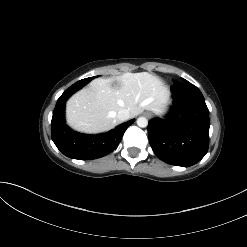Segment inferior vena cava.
I'll return each instance as SVG.
<instances>
[{
	"label": "inferior vena cava",
	"instance_id": "602c4592",
	"mask_svg": "<svg viewBox=\"0 0 247 247\" xmlns=\"http://www.w3.org/2000/svg\"><path fill=\"white\" fill-rule=\"evenodd\" d=\"M117 118L120 121H126L130 118V113L127 109H121L118 113H117Z\"/></svg>",
	"mask_w": 247,
	"mask_h": 247
}]
</instances>
